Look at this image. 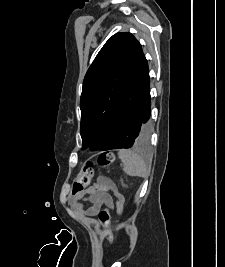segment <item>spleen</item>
Wrapping results in <instances>:
<instances>
[{
	"label": "spleen",
	"instance_id": "3e777b00",
	"mask_svg": "<svg viewBox=\"0 0 225 267\" xmlns=\"http://www.w3.org/2000/svg\"><path fill=\"white\" fill-rule=\"evenodd\" d=\"M118 156L123 163V171L129 176L147 178L149 169L145 161L131 150L122 149Z\"/></svg>",
	"mask_w": 225,
	"mask_h": 267
}]
</instances>
